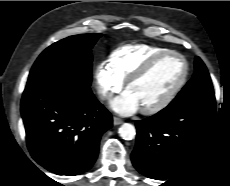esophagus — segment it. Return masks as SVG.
<instances>
[{"instance_id":"obj_1","label":"esophagus","mask_w":230,"mask_h":186,"mask_svg":"<svg viewBox=\"0 0 230 186\" xmlns=\"http://www.w3.org/2000/svg\"><path fill=\"white\" fill-rule=\"evenodd\" d=\"M113 123H114V125H120V124L123 123V120L121 118H119V117H114L113 118Z\"/></svg>"}]
</instances>
